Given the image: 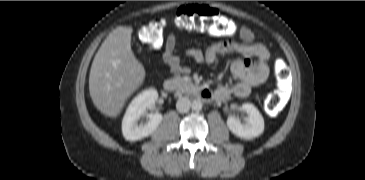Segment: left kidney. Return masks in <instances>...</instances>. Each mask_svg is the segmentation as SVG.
<instances>
[{"mask_svg":"<svg viewBox=\"0 0 365 180\" xmlns=\"http://www.w3.org/2000/svg\"><path fill=\"white\" fill-rule=\"evenodd\" d=\"M241 110L248 115L245 118V123H241L238 118L230 116L227 119V126L230 131L243 139H253L260 136L264 131V119L258 109L253 104L244 103Z\"/></svg>","mask_w":365,"mask_h":180,"instance_id":"obj_1","label":"left kidney"}]
</instances>
